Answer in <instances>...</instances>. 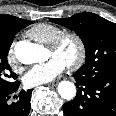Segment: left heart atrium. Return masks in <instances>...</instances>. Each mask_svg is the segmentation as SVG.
Returning <instances> with one entry per match:
<instances>
[{
	"label": "left heart atrium",
	"instance_id": "1",
	"mask_svg": "<svg viewBox=\"0 0 116 116\" xmlns=\"http://www.w3.org/2000/svg\"><path fill=\"white\" fill-rule=\"evenodd\" d=\"M67 67V63L58 56H52L48 61L34 65L23 77L29 86H38L55 80Z\"/></svg>",
	"mask_w": 116,
	"mask_h": 116
}]
</instances>
